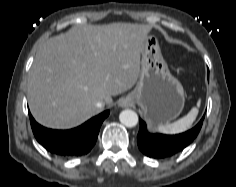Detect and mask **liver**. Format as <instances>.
Instances as JSON below:
<instances>
[{
  "label": "liver",
  "mask_w": 236,
  "mask_h": 187,
  "mask_svg": "<svg viewBox=\"0 0 236 187\" xmlns=\"http://www.w3.org/2000/svg\"><path fill=\"white\" fill-rule=\"evenodd\" d=\"M150 27L131 23L86 25L52 37L36 53L28 74L32 115L45 127L69 129L101 110L98 101L131 89Z\"/></svg>",
  "instance_id": "liver-1"
}]
</instances>
